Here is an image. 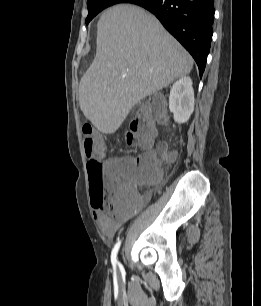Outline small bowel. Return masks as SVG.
<instances>
[{
	"label": "small bowel",
	"instance_id": "small-bowel-1",
	"mask_svg": "<svg viewBox=\"0 0 261 306\" xmlns=\"http://www.w3.org/2000/svg\"><path fill=\"white\" fill-rule=\"evenodd\" d=\"M156 161L158 159L155 154H153ZM132 157L125 158H113L108 161V163L116 162L120 160L131 161ZM150 198V192L145 193L144 195L133 196L131 201H126L122 203L117 209L112 212H107L104 210L94 211L93 215L97 221L100 230L103 235L106 237H113L119 227L126 222L134 213H136Z\"/></svg>",
	"mask_w": 261,
	"mask_h": 306
}]
</instances>
